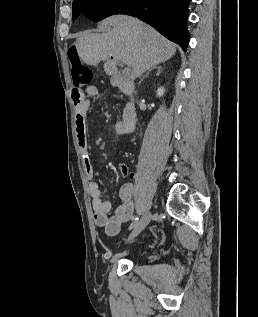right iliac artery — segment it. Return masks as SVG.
<instances>
[{
  "mask_svg": "<svg viewBox=\"0 0 258 317\" xmlns=\"http://www.w3.org/2000/svg\"><path fill=\"white\" fill-rule=\"evenodd\" d=\"M138 220H139V217H136V218L132 221V223H131L130 226H129V229H130V230L137 224Z\"/></svg>",
  "mask_w": 258,
  "mask_h": 317,
  "instance_id": "right-iliac-artery-1",
  "label": "right iliac artery"
}]
</instances>
